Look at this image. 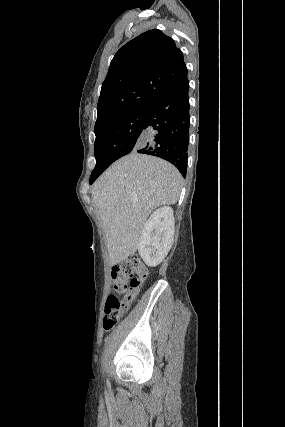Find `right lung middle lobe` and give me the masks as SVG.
<instances>
[{
    "instance_id": "right-lung-middle-lobe-1",
    "label": "right lung middle lobe",
    "mask_w": 285,
    "mask_h": 427,
    "mask_svg": "<svg viewBox=\"0 0 285 427\" xmlns=\"http://www.w3.org/2000/svg\"><path fill=\"white\" fill-rule=\"evenodd\" d=\"M146 107L130 110L114 116L95 127L96 166L91 177L103 172L120 157L129 154L140 143Z\"/></svg>"
}]
</instances>
